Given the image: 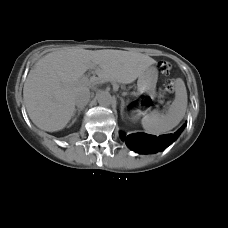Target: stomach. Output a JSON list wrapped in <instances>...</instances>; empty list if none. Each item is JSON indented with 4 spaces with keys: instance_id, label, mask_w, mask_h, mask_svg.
<instances>
[{
    "instance_id": "1",
    "label": "stomach",
    "mask_w": 228,
    "mask_h": 228,
    "mask_svg": "<svg viewBox=\"0 0 228 228\" xmlns=\"http://www.w3.org/2000/svg\"><path fill=\"white\" fill-rule=\"evenodd\" d=\"M158 79V71L155 67H149L138 78L137 93L142 96L147 103L154 99L155 87Z\"/></svg>"
}]
</instances>
